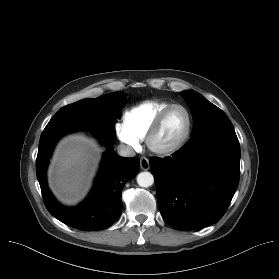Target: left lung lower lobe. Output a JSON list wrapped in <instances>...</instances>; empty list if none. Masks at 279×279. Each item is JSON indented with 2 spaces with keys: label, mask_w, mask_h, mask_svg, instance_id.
<instances>
[{
  "label": "left lung lower lobe",
  "mask_w": 279,
  "mask_h": 279,
  "mask_svg": "<svg viewBox=\"0 0 279 279\" xmlns=\"http://www.w3.org/2000/svg\"><path fill=\"white\" fill-rule=\"evenodd\" d=\"M157 201L165 221L178 230L216 223L236 192L240 146L234 130L193 137L170 157L152 158Z\"/></svg>",
  "instance_id": "1"
}]
</instances>
